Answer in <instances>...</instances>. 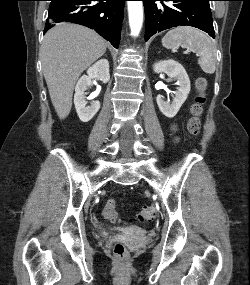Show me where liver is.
Segmentation results:
<instances>
[{
  "mask_svg": "<svg viewBox=\"0 0 250 285\" xmlns=\"http://www.w3.org/2000/svg\"><path fill=\"white\" fill-rule=\"evenodd\" d=\"M106 48L101 36L80 25L60 23L45 34L40 57L50 98L60 119L70 113L79 76Z\"/></svg>",
  "mask_w": 250,
  "mask_h": 285,
  "instance_id": "1",
  "label": "liver"
}]
</instances>
